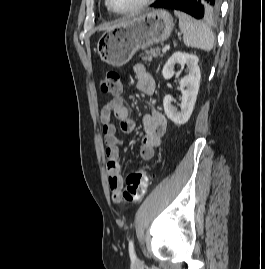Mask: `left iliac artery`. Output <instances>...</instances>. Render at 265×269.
<instances>
[{
    "mask_svg": "<svg viewBox=\"0 0 265 269\" xmlns=\"http://www.w3.org/2000/svg\"><path fill=\"white\" fill-rule=\"evenodd\" d=\"M129 254H130L131 259H133V260L136 259V255H135V251H134V244H133L132 240L129 241Z\"/></svg>",
    "mask_w": 265,
    "mask_h": 269,
    "instance_id": "obj_1",
    "label": "left iliac artery"
}]
</instances>
